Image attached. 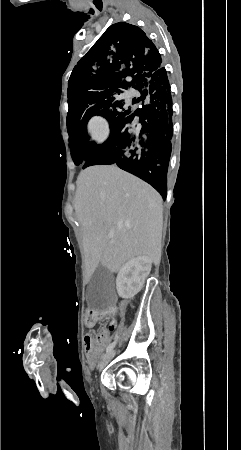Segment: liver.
<instances>
[{
  "instance_id": "liver-1",
  "label": "liver",
  "mask_w": 241,
  "mask_h": 450,
  "mask_svg": "<svg viewBox=\"0 0 241 450\" xmlns=\"http://www.w3.org/2000/svg\"><path fill=\"white\" fill-rule=\"evenodd\" d=\"M76 184L74 208L83 230L89 278L99 264L118 272L133 256L159 264L163 200L154 188L117 166H90L80 172Z\"/></svg>"
}]
</instances>
